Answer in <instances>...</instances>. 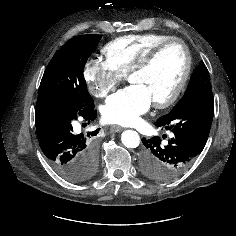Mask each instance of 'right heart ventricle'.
Returning <instances> with one entry per match:
<instances>
[{"label": "right heart ventricle", "mask_w": 236, "mask_h": 236, "mask_svg": "<svg viewBox=\"0 0 236 236\" xmlns=\"http://www.w3.org/2000/svg\"><path fill=\"white\" fill-rule=\"evenodd\" d=\"M171 37L170 35L159 33L126 35L108 42L102 51L107 60L122 75H126L151 48Z\"/></svg>", "instance_id": "e07e8e85"}]
</instances>
